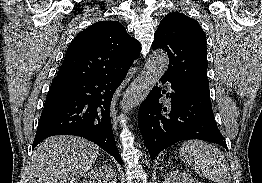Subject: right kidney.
Wrapping results in <instances>:
<instances>
[{
  "mask_svg": "<svg viewBox=\"0 0 262 183\" xmlns=\"http://www.w3.org/2000/svg\"><path fill=\"white\" fill-rule=\"evenodd\" d=\"M117 183L114 169L109 165L100 166L88 172L81 183Z\"/></svg>",
  "mask_w": 262,
  "mask_h": 183,
  "instance_id": "ca27d5eb",
  "label": "right kidney"
}]
</instances>
